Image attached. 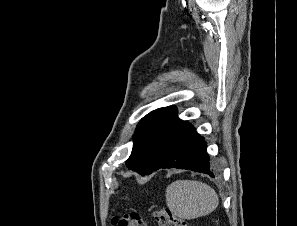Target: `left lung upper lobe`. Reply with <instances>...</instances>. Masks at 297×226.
<instances>
[{"instance_id":"obj_1","label":"left lung upper lobe","mask_w":297,"mask_h":226,"mask_svg":"<svg viewBox=\"0 0 297 226\" xmlns=\"http://www.w3.org/2000/svg\"><path fill=\"white\" fill-rule=\"evenodd\" d=\"M174 107L154 110L147 114L136 127L132 153L126 166L142 175L150 173L169 148L184 124L176 116Z\"/></svg>"}]
</instances>
